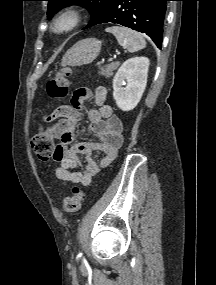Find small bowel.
Returning <instances> with one entry per match:
<instances>
[{
  "instance_id": "small-bowel-1",
  "label": "small bowel",
  "mask_w": 216,
  "mask_h": 285,
  "mask_svg": "<svg viewBox=\"0 0 216 285\" xmlns=\"http://www.w3.org/2000/svg\"><path fill=\"white\" fill-rule=\"evenodd\" d=\"M107 94V89L103 86L94 91L79 88L73 94L72 105L58 110L59 121L50 133L60 140L53 159L59 163L55 175L64 184L89 185L100 167H106L114 160L122 145V123L107 103ZM87 100H92L97 106L88 111V130L96 140L74 142L76 127L82 118L81 105ZM96 151L103 154L99 164L93 157ZM80 155L85 156L84 165Z\"/></svg>"
}]
</instances>
